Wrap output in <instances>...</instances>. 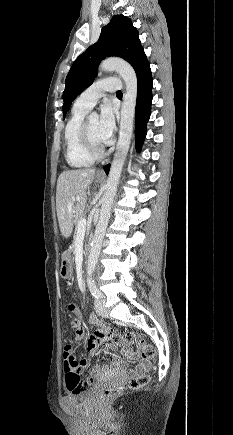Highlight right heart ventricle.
I'll list each match as a JSON object with an SVG mask.
<instances>
[{
  "label": "right heart ventricle",
  "mask_w": 233,
  "mask_h": 435,
  "mask_svg": "<svg viewBox=\"0 0 233 435\" xmlns=\"http://www.w3.org/2000/svg\"><path fill=\"white\" fill-rule=\"evenodd\" d=\"M87 112L85 109L74 106L65 126V159L73 168L90 167L94 163V159L86 153L80 137L81 125Z\"/></svg>",
  "instance_id": "1"
}]
</instances>
